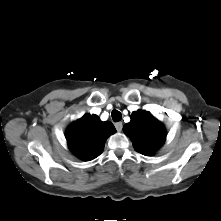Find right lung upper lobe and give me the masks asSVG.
Here are the masks:
<instances>
[{
    "label": "right lung upper lobe",
    "mask_w": 221,
    "mask_h": 221,
    "mask_svg": "<svg viewBox=\"0 0 221 221\" xmlns=\"http://www.w3.org/2000/svg\"><path fill=\"white\" fill-rule=\"evenodd\" d=\"M115 132L111 122H102L98 116L86 114L69 126L66 139L77 157L89 161L102 153L107 137Z\"/></svg>",
    "instance_id": "right-lung-upper-lobe-1"
}]
</instances>
